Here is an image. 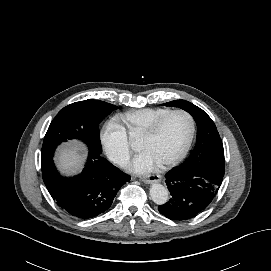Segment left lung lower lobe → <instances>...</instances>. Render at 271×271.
<instances>
[{
    "label": "left lung lower lobe",
    "mask_w": 271,
    "mask_h": 271,
    "mask_svg": "<svg viewBox=\"0 0 271 271\" xmlns=\"http://www.w3.org/2000/svg\"><path fill=\"white\" fill-rule=\"evenodd\" d=\"M165 177L171 198L158 210L176 221L191 219L206 209L223 181L221 175L185 166L173 168Z\"/></svg>",
    "instance_id": "obj_1"
}]
</instances>
